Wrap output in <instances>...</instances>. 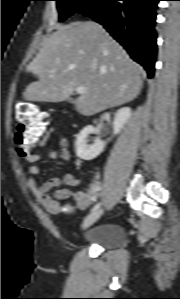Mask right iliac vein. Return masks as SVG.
I'll list each match as a JSON object with an SVG mask.
<instances>
[{
    "instance_id": "obj_1",
    "label": "right iliac vein",
    "mask_w": 180,
    "mask_h": 299,
    "mask_svg": "<svg viewBox=\"0 0 180 299\" xmlns=\"http://www.w3.org/2000/svg\"><path fill=\"white\" fill-rule=\"evenodd\" d=\"M103 214L102 209H97L95 211H92L83 221L82 227L88 228L91 225H93Z\"/></svg>"
}]
</instances>
